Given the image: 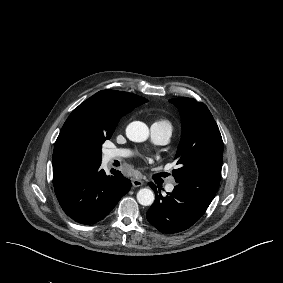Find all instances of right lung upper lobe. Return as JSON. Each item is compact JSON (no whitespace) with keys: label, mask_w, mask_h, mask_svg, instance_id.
<instances>
[{"label":"right lung upper lobe","mask_w":283,"mask_h":283,"mask_svg":"<svg viewBox=\"0 0 283 283\" xmlns=\"http://www.w3.org/2000/svg\"><path fill=\"white\" fill-rule=\"evenodd\" d=\"M148 100L135 94L100 91L77 108L64 123L53 152V184H65L101 164L98 141L110 139L119 119Z\"/></svg>","instance_id":"1"}]
</instances>
